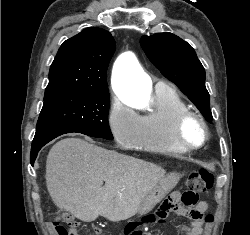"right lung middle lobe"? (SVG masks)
Segmentation results:
<instances>
[{"label":"right lung middle lobe","instance_id":"1","mask_svg":"<svg viewBox=\"0 0 250 235\" xmlns=\"http://www.w3.org/2000/svg\"><path fill=\"white\" fill-rule=\"evenodd\" d=\"M108 90L86 92L68 91L44 97L36 130L49 127H67L112 140L108 124Z\"/></svg>","mask_w":250,"mask_h":235}]
</instances>
